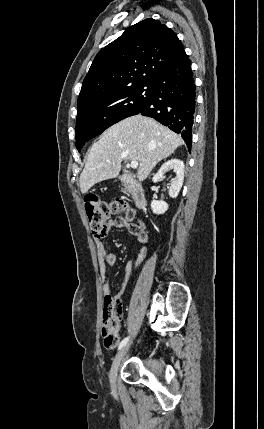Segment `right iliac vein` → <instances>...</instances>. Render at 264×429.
Returning a JSON list of instances; mask_svg holds the SVG:
<instances>
[{
  "label": "right iliac vein",
  "mask_w": 264,
  "mask_h": 429,
  "mask_svg": "<svg viewBox=\"0 0 264 429\" xmlns=\"http://www.w3.org/2000/svg\"><path fill=\"white\" fill-rule=\"evenodd\" d=\"M130 348V344L125 345L114 357L111 367H110V371H109V381L112 385L115 384L116 381V377H117V372L118 369L120 367V364L124 358V356L126 355V353L128 352Z\"/></svg>",
  "instance_id": "1"
}]
</instances>
